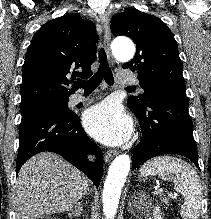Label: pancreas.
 <instances>
[{
    "label": "pancreas",
    "mask_w": 211,
    "mask_h": 219,
    "mask_svg": "<svg viewBox=\"0 0 211 219\" xmlns=\"http://www.w3.org/2000/svg\"><path fill=\"white\" fill-rule=\"evenodd\" d=\"M161 201L165 204L169 203V199L166 196H161Z\"/></svg>",
    "instance_id": "obj_1"
}]
</instances>
